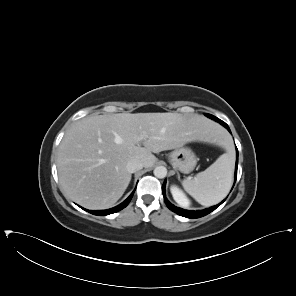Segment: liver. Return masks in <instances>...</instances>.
Here are the masks:
<instances>
[{
	"label": "liver",
	"mask_w": 296,
	"mask_h": 296,
	"mask_svg": "<svg viewBox=\"0 0 296 296\" xmlns=\"http://www.w3.org/2000/svg\"><path fill=\"white\" fill-rule=\"evenodd\" d=\"M217 125L199 114L118 113L87 116L64 135L57 168L62 191L92 210L114 205L131 181L127 163L153 166L152 153L218 139ZM143 145L144 147H141Z\"/></svg>",
	"instance_id": "1"
}]
</instances>
